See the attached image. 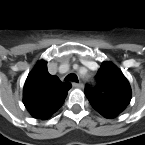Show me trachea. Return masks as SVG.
Returning a JSON list of instances; mask_svg holds the SVG:
<instances>
[{"label": "trachea", "mask_w": 145, "mask_h": 145, "mask_svg": "<svg viewBox=\"0 0 145 145\" xmlns=\"http://www.w3.org/2000/svg\"><path fill=\"white\" fill-rule=\"evenodd\" d=\"M65 81H74L78 83V77L75 74H69L65 77Z\"/></svg>", "instance_id": "trachea-1"}]
</instances>
